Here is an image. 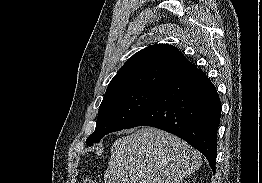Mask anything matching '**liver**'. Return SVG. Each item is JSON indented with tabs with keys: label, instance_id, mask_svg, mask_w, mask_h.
Returning <instances> with one entry per match:
<instances>
[{
	"label": "liver",
	"instance_id": "obj_1",
	"mask_svg": "<svg viewBox=\"0 0 262 183\" xmlns=\"http://www.w3.org/2000/svg\"><path fill=\"white\" fill-rule=\"evenodd\" d=\"M200 166V153L187 142L144 127L114 142L104 183H181Z\"/></svg>",
	"mask_w": 262,
	"mask_h": 183
}]
</instances>
